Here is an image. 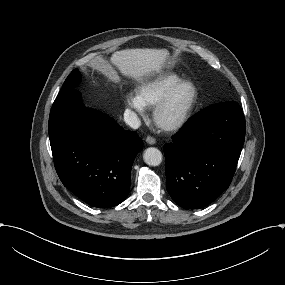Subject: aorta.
Instances as JSON below:
<instances>
[{
  "label": "aorta",
  "instance_id": "obj_1",
  "mask_svg": "<svg viewBox=\"0 0 285 285\" xmlns=\"http://www.w3.org/2000/svg\"><path fill=\"white\" fill-rule=\"evenodd\" d=\"M143 159L149 166H158L162 162V153L157 148L149 147L144 151Z\"/></svg>",
  "mask_w": 285,
  "mask_h": 285
}]
</instances>
